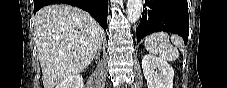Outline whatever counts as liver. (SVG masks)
<instances>
[{
  "label": "liver",
  "mask_w": 227,
  "mask_h": 88,
  "mask_svg": "<svg viewBox=\"0 0 227 88\" xmlns=\"http://www.w3.org/2000/svg\"><path fill=\"white\" fill-rule=\"evenodd\" d=\"M34 34L44 88L84 71L102 47L104 31L85 11L65 4L41 8Z\"/></svg>",
  "instance_id": "liver-1"
}]
</instances>
